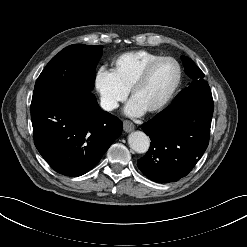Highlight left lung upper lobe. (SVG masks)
<instances>
[{
  "label": "left lung upper lobe",
  "mask_w": 247,
  "mask_h": 247,
  "mask_svg": "<svg viewBox=\"0 0 247 247\" xmlns=\"http://www.w3.org/2000/svg\"><path fill=\"white\" fill-rule=\"evenodd\" d=\"M183 64L185 67L186 74L193 79V82L185 89H183L172 101V103L177 102L183 99L185 96L189 95L193 90L203 86L208 85L206 81H204L203 72L196 66V64L188 57L182 56ZM171 103V104H172Z\"/></svg>",
  "instance_id": "1"
}]
</instances>
